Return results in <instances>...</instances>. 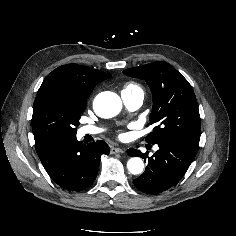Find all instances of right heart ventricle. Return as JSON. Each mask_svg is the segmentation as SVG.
<instances>
[{"mask_svg":"<svg viewBox=\"0 0 236 236\" xmlns=\"http://www.w3.org/2000/svg\"><path fill=\"white\" fill-rule=\"evenodd\" d=\"M137 91H143L142 88L134 83V82H129L125 85L124 89L122 90V92H128V93H134Z\"/></svg>","mask_w":236,"mask_h":236,"instance_id":"obj_1","label":"right heart ventricle"}]
</instances>
